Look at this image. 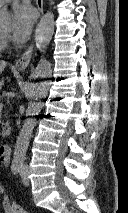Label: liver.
<instances>
[{
	"instance_id": "obj_1",
	"label": "liver",
	"mask_w": 128,
	"mask_h": 213,
	"mask_svg": "<svg viewBox=\"0 0 128 213\" xmlns=\"http://www.w3.org/2000/svg\"><path fill=\"white\" fill-rule=\"evenodd\" d=\"M6 67V62L0 60V74L2 73V71L5 69ZM4 85V80L0 81V89L2 88V86Z\"/></svg>"
}]
</instances>
